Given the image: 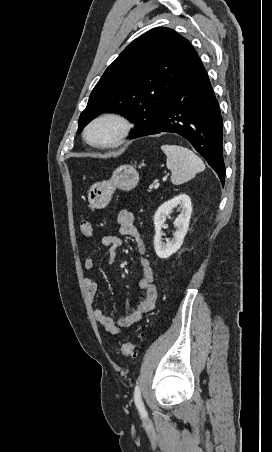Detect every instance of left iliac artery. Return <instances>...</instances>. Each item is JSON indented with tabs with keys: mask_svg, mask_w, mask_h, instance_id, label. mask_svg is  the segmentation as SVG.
Segmentation results:
<instances>
[{
	"mask_svg": "<svg viewBox=\"0 0 272 452\" xmlns=\"http://www.w3.org/2000/svg\"><path fill=\"white\" fill-rule=\"evenodd\" d=\"M134 401H135V404H136L139 412L141 413V415L145 416L146 411H145V407H144V404L141 399V392H140V387L138 384L135 386V389H134Z\"/></svg>",
	"mask_w": 272,
	"mask_h": 452,
	"instance_id": "left-iliac-artery-1",
	"label": "left iliac artery"
}]
</instances>
